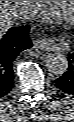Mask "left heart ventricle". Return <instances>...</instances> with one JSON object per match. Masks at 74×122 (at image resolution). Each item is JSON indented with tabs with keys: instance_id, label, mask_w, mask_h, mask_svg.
I'll list each match as a JSON object with an SVG mask.
<instances>
[{
	"instance_id": "left-heart-ventricle-1",
	"label": "left heart ventricle",
	"mask_w": 74,
	"mask_h": 122,
	"mask_svg": "<svg viewBox=\"0 0 74 122\" xmlns=\"http://www.w3.org/2000/svg\"><path fill=\"white\" fill-rule=\"evenodd\" d=\"M73 7V1H58L56 10L63 17H67L68 11Z\"/></svg>"
}]
</instances>
